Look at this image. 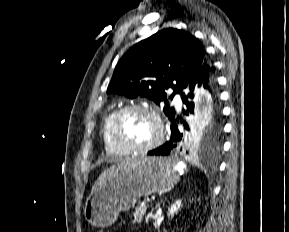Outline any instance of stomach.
Listing matches in <instances>:
<instances>
[{
    "label": "stomach",
    "mask_w": 289,
    "mask_h": 232,
    "mask_svg": "<svg viewBox=\"0 0 289 232\" xmlns=\"http://www.w3.org/2000/svg\"><path fill=\"white\" fill-rule=\"evenodd\" d=\"M178 182L176 162L171 158L143 157L119 170L84 206L85 219L93 226L112 225L121 211H128L138 199L162 192Z\"/></svg>",
    "instance_id": "obj_1"
}]
</instances>
